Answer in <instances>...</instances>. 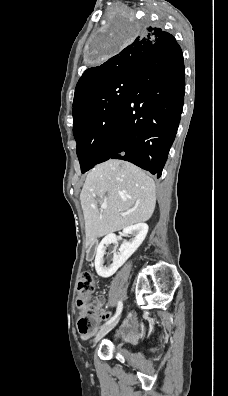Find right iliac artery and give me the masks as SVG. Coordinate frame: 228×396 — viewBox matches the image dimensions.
Here are the masks:
<instances>
[{
	"label": "right iliac artery",
	"mask_w": 228,
	"mask_h": 396,
	"mask_svg": "<svg viewBox=\"0 0 228 396\" xmlns=\"http://www.w3.org/2000/svg\"><path fill=\"white\" fill-rule=\"evenodd\" d=\"M122 308H123V304H122L121 301H119V302H118V305H117V310H116L115 315H114L108 322H106L105 325H108V324H110L111 322H113V321L119 316V314L121 313Z\"/></svg>",
	"instance_id": "1"
}]
</instances>
